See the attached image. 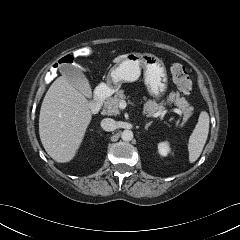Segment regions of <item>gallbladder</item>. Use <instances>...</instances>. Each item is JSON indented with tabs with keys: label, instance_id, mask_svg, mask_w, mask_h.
<instances>
[{
	"label": "gallbladder",
	"instance_id": "1",
	"mask_svg": "<svg viewBox=\"0 0 240 240\" xmlns=\"http://www.w3.org/2000/svg\"><path fill=\"white\" fill-rule=\"evenodd\" d=\"M61 72L72 86L78 89L87 98L92 97V91L89 81L83 74L80 66L75 64L63 65L61 67Z\"/></svg>",
	"mask_w": 240,
	"mask_h": 240
}]
</instances>
